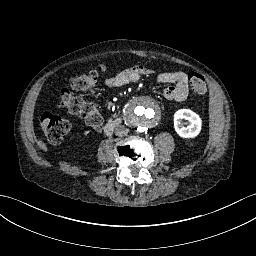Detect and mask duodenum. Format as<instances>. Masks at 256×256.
Returning a JSON list of instances; mask_svg holds the SVG:
<instances>
[{
    "label": "duodenum",
    "mask_w": 256,
    "mask_h": 256,
    "mask_svg": "<svg viewBox=\"0 0 256 256\" xmlns=\"http://www.w3.org/2000/svg\"><path fill=\"white\" fill-rule=\"evenodd\" d=\"M122 124L123 120L121 118L110 119L103 126L104 133L110 135L117 127L121 126Z\"/></svg>",
    "instance_id": "410a0bca"
}]
</instances>
